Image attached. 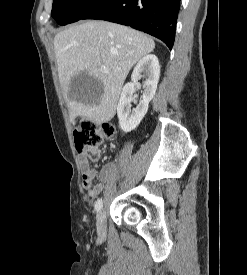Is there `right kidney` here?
Here are the masks:
<instances>
[{
    "instance_id": "1",
    "label": "right kidney",
    "mask_w": 247,
    "mask_h": 275,
    "mask_svg": "<svg viewBox=\"0 0 247 275\" xmlns=\"http://www.w3.org/2000/svg\"><path fill=\"white\" fill-rule=\"evenodd\" d=\"M146 76L143 83V99L139 102L136 108L131 111V102L133 100V93L136 90L138 80ZM160 76V66L158 58L149 54L144 56L135 66L131 82L127 83L121 93L120 100L117 105V116L119 125L124 132L134 130L142 121L148 111L149 102L153 99Z\"/></svg>"
}]
</instances>
